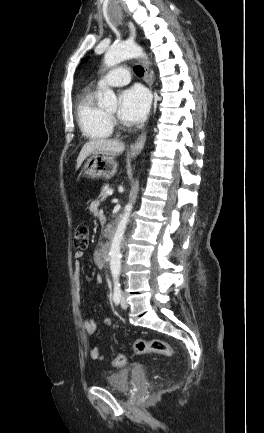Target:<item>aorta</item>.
Segmentation results:
<instances>
[{
  "label": "aorta",
  "mask_w": 264,
  "mask_h": 433,
  "mask_svg": "<svg viewBox=\"0 0 264 433\" xmlns=\"http://www.w3.org/2000/svg\"><path fill=\"white\" fill-rule=\"evenodd\" d=\"M142 49L135 43L123 42L112 45L104 56V62L107 67L119 64L125 59L144 57ZM102 104L105 107H114L117 104L115 93L107 89L103 93ZM133 205L129 202L125 207V212L116 227L114 237L110 245V271L113 278H118L121 273V247L125 230L127 228Z\"/></svg>",
  "instance_id": "1"
}]
</instances>
